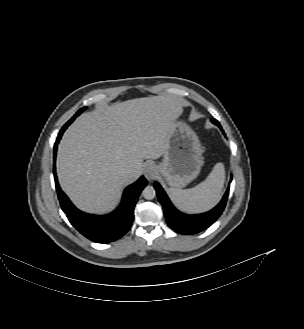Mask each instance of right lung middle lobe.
<instances>
[{
  "instance_id": "right-lung-middle-lobe-1",
  "label": "right lung middle lobe",
  "mask_w": 304,
  "mask_h": 329,
  "mask_svg": "<svg viewBox=\"0 0 304 329\" xmlns=\"http://www.w3.org/2000/svg\"><path fill=\"white\" fill-rule=\"evenodd\" d=\"M85 109H86V107H83L80 110H78V112L62 127V129H66L74 121V119L78 115H80V113H82Z\"/></svg>"
}]
</instances>
